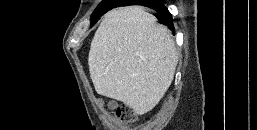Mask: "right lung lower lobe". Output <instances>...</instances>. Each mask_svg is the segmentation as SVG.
Masks as SVG:
<instances>
[{
	"mask_svg": "<svg viewBox=\"0 0 257 130\" xmlns=\"http://www.w3.org/2000/svg\"><path fill=\"white\" fill-rule=\"evenodd\" d=\"M129 2H121L120 6L129 5ZM138 5H142L151 9H154L156 13V17L159 19V23L164 24L174 30L172 15L167 10V8L163 5L161 0H148V1H140L137 3Z\"/></svg>",
	"mask_w": 257,
	"mask_h": 130,
	"instance_id": "right-lung-lower-lobe-1",
	"label": "right lung lower lobe"
}]
</instances>
